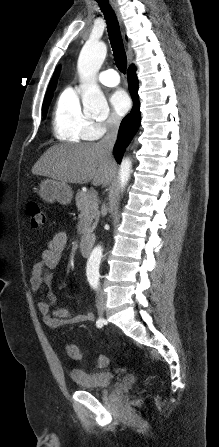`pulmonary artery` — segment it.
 Listing matches in <instances>:
<instances>
[{
    "label": "pulmonary artery",
    "mask_w": 219,
    "mask_h": 447,
    "mask_svg": "<svg viewBox=\"0 0 219 447\" xmlns=\"http://www.w3.org/2000/svg\"><path fill=\"white\" fill-rule=\"evenodd\" d=\"M98 81L105 85V86H116L119 84L120 82V78L118 73L113 70V69H108L106 71H103L99 77H98Z\"/></svg>",
    "instance_id": "e3ab8cb5"
}]
</instances>
